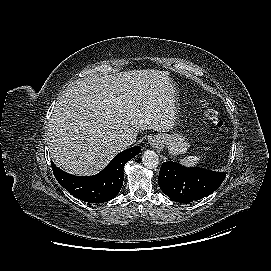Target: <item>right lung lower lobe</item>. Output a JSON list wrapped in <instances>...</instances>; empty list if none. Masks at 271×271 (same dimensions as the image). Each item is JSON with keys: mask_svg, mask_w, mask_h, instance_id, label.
Listing matches in <instances>:
<instances>
[{"mask_svg": "<svg viewBox=\"0 0 271 271\" xmlns=\"http://www.w3.org/2000/svg\"><path fill=\"white\" fill-rule=\"evenodd\" d=\"M141 147L126 149L111 160L98 174L93 176H75L64 172L52 162L56 180L70 194L89 203H102L116 197L123 185L124 166L135 157Z\"/></svg>", "mask_w": 271, "mask_h": 271, "instance_id": "obj_1", "label": "right lung lower lobe"}]
</instances>
